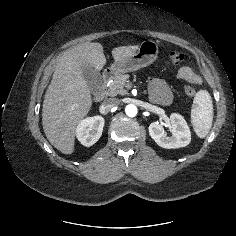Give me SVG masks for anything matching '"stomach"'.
Wrapping results in <instances>:
<instances>
[{
  "label": "stomach",
  "mask_w": 236,
  "mask_h": 236,
  "mask_svg": "<svg viewBox=\"0 0 236 236\" xmlns=\"http://www.w3.org/2000/svg\"><path fill=\"white\" fill-rule=\"evenodd\" d=\"M158 55V44L152 40L141 43L138 50L131 56L115 61L111 65V72L114 75H121L127 72L137 71L152 64Z\"/></svg>",
  "instance_id": "obj_1"
}]
</instances>
